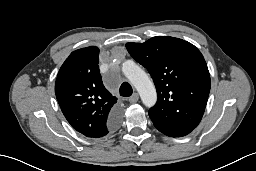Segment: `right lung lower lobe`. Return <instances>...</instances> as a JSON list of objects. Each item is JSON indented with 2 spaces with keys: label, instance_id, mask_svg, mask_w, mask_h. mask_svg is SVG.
Instances as JSON below:
<instances>
[{
  "label": "right lung lower lobe",
  "instance_id": "1",
  "mask_svg": "<svg viewBox=\"0 0 256 171\" xmlns=\"http://www.w3.org/2000/svg\"><path fill=\"white\" fill-rule=\"evenodd\" d=\"M119 121H120V112L119 110L116 109L112 112V114L109 117V120L107 123L108 129L114 130L117 127Z\"/></svg>",
  "mask_w": 256,
  "mask_h": 171
}]
</instances>
